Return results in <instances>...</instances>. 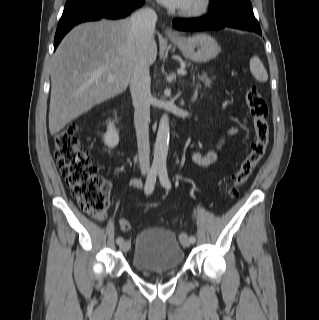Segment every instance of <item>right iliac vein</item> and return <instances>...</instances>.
I'll return each mask as SVG.
<instances>
[{
    "label": "right iliac vein",
    "instance_id": "right-iliac-vein-1",
    "mask_svg": "<svg viewBox=\"0 0 319 320\" xmlns=\"http://www.w3.org/2000/svg\"><path fill=\"white\" fill-rule=\"evenodd\" d=\"M129 248H130V242L128 240H126L122 244H120V250L123 252L128 251Z\"/></svg>",
    "mask_w": 319,
    "mask_h": 320
}]
</instances>
